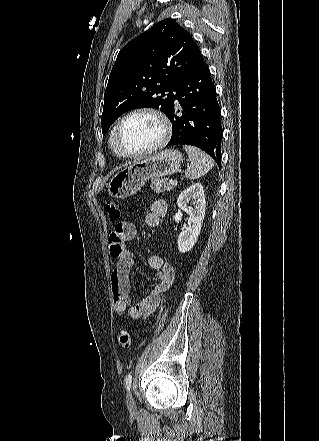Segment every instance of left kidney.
Wrapping results in <instances>:
<instances>
[{"mask_svg":"<svg viewBox=\"0 0 319 441\" xmlns=\"http://www.w3.org/2000/svg\"><path fill=\"white\" fill-rule=\"evenodd\" d=\"M191 202L192 207L187 204ZM205 193L201 183H194L185 189L177 199L178 207L188 215V226L178 236V250L190 251L197 242L205 216Z\"/></svg>","mask_w":319,"mask_h":441,"instance_id":"obj_1","label":"left kidney"}]
</instances>
